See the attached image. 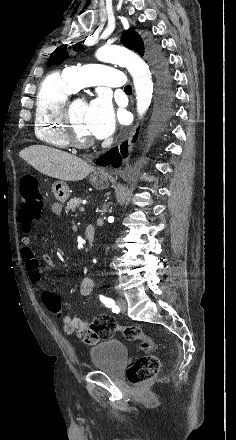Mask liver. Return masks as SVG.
<instances>
[{
  "mask_svg": "<svg viewBox=\"0 0 236 440\" xmlns=\"http://www.w3.org/2000/svg\"><path fill=\"white\" fill-rule=\"evenodd\" d=\"M19 156L40 173L63 181H80L94 170L84 160L43 145L23 149Z\"/></svg>",
  "mask_w": 236,
  "mask_h": 440,
  "instance_id": "1",
  "label": "liver"
}]
</instances>
